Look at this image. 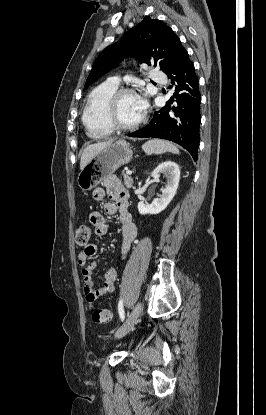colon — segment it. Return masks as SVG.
<instances>
[{
    "mask_svg": "<svg viewBox=\"0 0 266 415\" xmlns=\"http://www.w3.org/2000/svg\"><path fill=\"white\" fill-rule=\"evenodd\" d=\"M94 229L87 224H80L76 229L75 242L79 247H85L89 244L92 238ZM112 318L110 310L105 308H98L93 310L92 319L94 322L99 324L109 323Z\"/></svg>",
    "mask_w": 266,
    "mask_h": 415,
    "instance_id": "5ec220e1",
    "label": "colon"
}]
</instances>
